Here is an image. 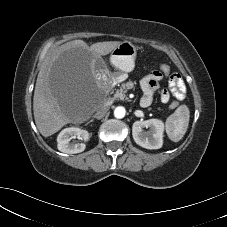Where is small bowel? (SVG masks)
I'll return each instance as SVG.
<instances>
[{
    "label": "small bowel",
    "instance_id": "c3829d8e",
    "mask_svg": "<svg viewBox=\"0 0 227 227\" xmlns=\"http://www.w3.org/2000/svg\"><path fill=\"white\" fill-rule=\"evenodd\" d=\"M163 75L160 71L154 70L147 74L141 80V89L143 91V97L141 98V105L148 107L153 102L154 93L160 90V81ZM169 89H161L160 99L163 103H167L171 95L177 100H182L185 97L186 86L182 77L173 73L169 76L168 80Z\"/></svg>",
    "mask_w": 227,
    "mask_h": 227
}]
</instances>
